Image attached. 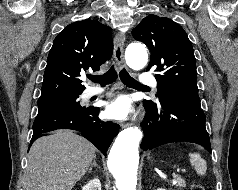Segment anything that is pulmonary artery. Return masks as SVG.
Listing matches in <instances>:
<instances>
[{
    "label": "pulmonary artery",
    "instance_id": "obj_1",
    "mask_svg": "<svg viewBox=\"0 0 238 190\" xmlns=\"http://www.w3.org/2000/svg\"><path fill=\"white\" fill-rule=\"evenodd\" d=\"M141 84L145 85V86H156V80L152 75L149 74H144L141 79H140ZM104 90L101 88H95V87H90L87 88L84 96L86 98H91L95 95H98L100 93H102Z\"/></svg>",
    "mask_w": 238,
    "mask_h": 190
}]
</instances>
